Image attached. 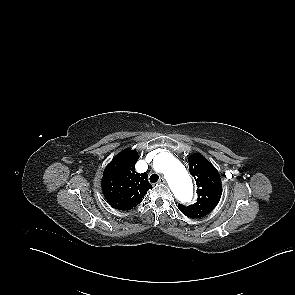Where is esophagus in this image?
<instances>
[{"label":"esophagus","mask_w":295,"mask_h":295,"mask_svg":"<svg viewBox=\"0 0 295 295\" xmlns=\"http://www.w3.org/2000/svg\"><path fill=\"white\" fill-rule=\"evenodd\" d=\"M158 182L159 184H165L166 180L163 177H161Z\"/></svg>","instance_id":"obj_1"}]
</instances>
